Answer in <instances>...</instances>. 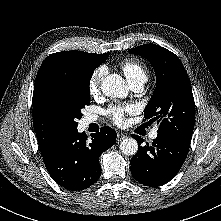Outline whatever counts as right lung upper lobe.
Listing matches in <instances>:
<instances>
[{
	"mask_svg": "<svg viewBox=\"0 0 221 221\" xmlns=\"http://www.w3.org/2000/svg\"><path fill=\"white\" fill-rule=\"evenodd\" d=\"M107 54L63 51L53 53L43 61L35 79L33 92V126L42 155L49 152L58 141L72 132L73 129H70L64 121L49 113L39 93L41 82L55 69L75 63L98 64Z\"/></svg>",
	"mask_w": 221,
	"mask_h": 221,
	"instance_id": "obj_1",
	"label": "right lung upper lobe"
}]
</instances>
